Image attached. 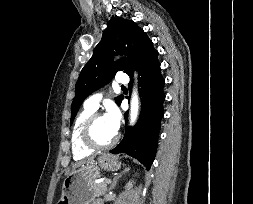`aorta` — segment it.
Listing matches in <instances>:
<instances>
[{"mask_svg": "<svg viewBox=\"0 0 253 204\" xmlns=\"http://www.w3.org/2000/svg\"><path fill=\"white\" fill-rule=\"evenodd\" d=\"M139 111V98L137 94V90L134 89L131 99V108H130V122L131 124H134Z\"/></svg>", "mask_w": 253, "mask_h": 204, "instance_id": "762f6f07", "label": "aorta"}]
</instances>
